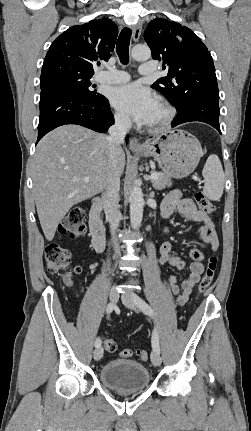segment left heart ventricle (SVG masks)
Listing matches in <instances>:
<instances>
[{
    "mask_svg": "<svg viewBox=\"0 0 251 431\" xmlns=\"http://www.w3.org/2000/svg\"><path fill=\"white\" fill-rule=\"evenodd\" d=\"M162 113H163V112H162V110H161L160 106H158V107H157V109H156V111L154 112V114H153V116H152V119H151V121L149 122V124H151V123H154V122L158 121V120L161 118Z\"/></svg>",
    "mask_w": 251,
    "mask_h": 431,
    "instance_id": "1",
    "label": "left heart ventricle"
}]
</instances>
